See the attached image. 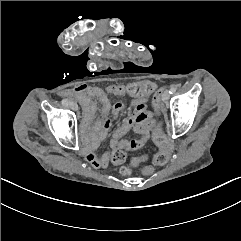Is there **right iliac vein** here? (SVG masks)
<instances>
[{
  "instance_id": "63e3f726",
  "label": "right iliac vein",
  "mask_w": 241,
  "mask_h": 241,
  "mask_svg": "<svg viewBox=\"0 0 241 241\" xmlns=\"http://www.w3.org/2000/svg\"><path fill=\"white\" fill-rule=\"evenodd\" d=\"M69 105L73 110H78V105L75 102H70Z\"/></svg>"
}]
</instances>
